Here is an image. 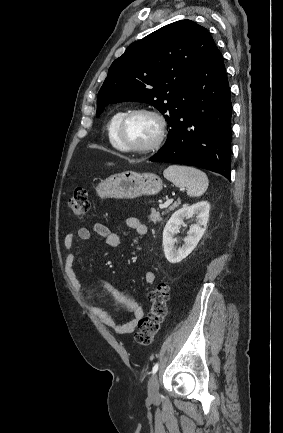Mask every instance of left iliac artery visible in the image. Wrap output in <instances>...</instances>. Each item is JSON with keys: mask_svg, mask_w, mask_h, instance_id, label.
Wrapping results in <instances>:
<instances>
[{"mask_svg": "<svg viewBox=\"0 0 283 433\" xmlns=\"http://www.w3.org/2000/svg\"><path fill=\"white\" fill-rule=\"evenodd\" d=\"M158 367H159V364L155 363L154 366H153V368H152V374H155L157 372Z\"/></svg>", "mask_w": 283, "mask_h": 433, "instance_id": "obj_1", "label": "left iliac artery"}]
</instances>
